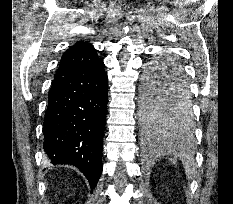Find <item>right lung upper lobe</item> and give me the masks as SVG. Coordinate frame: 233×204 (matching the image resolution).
Segmentation results:
<instances>
[{"instance_id": "cb5924a9", "label": "right lung upper lobe", "mask_w": 233, "mask_h": 204, "mask_svg": "<svg viewBox=\"0 0 233 204\" xmlns=\"http://www.w3.org/2000/svg\"><path fill=\"white\" fill-rule=\"evenodd\" d=\"M100 63L102 61L97 57L96 49L88 42L78 41L63 54L53 84L63 79L77 65L96 66Z\"/></svg>"}]
</instances>
